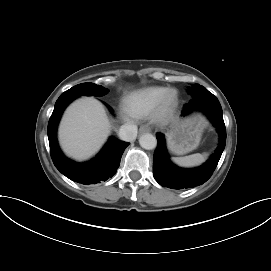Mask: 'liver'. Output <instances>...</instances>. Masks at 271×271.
<instances>
[{"mask_svg": "<svg viewBox=\"0 0 271 271\" xmlns=\"http://www.w3.org/2000/svg\"><path fill=\"white\" fill-rule=\"evenodd\" d=\"M110 130L111 124L103 105L93 97H83L65 111L59 127V140L68 156L85 160L101 148Z\"/></svg>", "mask_w": 271, "mask_h": 271, "instance_id": "liver-1", "label": "liver"}]
</instances>
